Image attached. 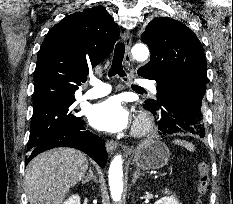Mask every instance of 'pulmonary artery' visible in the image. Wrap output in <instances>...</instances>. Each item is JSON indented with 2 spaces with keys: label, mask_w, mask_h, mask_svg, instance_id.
Returning <instances> with one entry per match:
<instances>
[{
  "label": "pulmonary artery",
  "mask_w": 233,
  "mask_h": 204,
  "mask_svg": "<svg viewBox=\"0 0 233 204\" xmlns=\"http://www.w3.org/2000/svg\"><path fill=\"white\" fill-rule=\"evenodd\" d=\"M90 84L92 85V88L84 93L82 97L83 99L99 98L109 94L111 91V86L109 84L104 83L98 79H91ZM135 84L139 87L147 88L153 92H156V86L154 85V82L151 80L138 78L135 80Z\"/></svg>",
  "instance_id": "pulmonary-artery-1"
}]
</instances>
